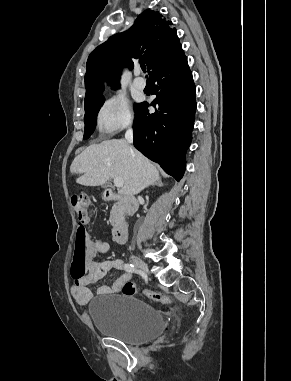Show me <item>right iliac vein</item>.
Segmentation results:
<instances>
[{"mask_svg": "<svg viewBox=\"0 0 291 381\" xmlns=\"http://www.w3.org/2000/svg\"><path fill=\"white\" fill-rule=\"evenodd\" d=\"M131 262L132 264H134L137 268L141 269L142 271H144L145 273H148L149 272V269H148V266L147 264L142 261L140 258L136 257V256H131Z\"/></svg>", "mask_w": 291, "mask_h": 381, "instance_id": "1", "label": "right iliac vein"}]
</instances>
